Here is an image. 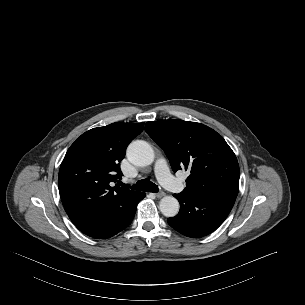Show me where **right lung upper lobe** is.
Masks as SVG:
<instances>
[{"instance_id": "obj_1", "label": "right lung upper lobe", "mask_w": 305, "mask_h": 305, "mask_svg": "<svg viewBox=\"0 0 305 305\" xmlns=\"http://www.w3.org/2000/svg\"><path fill=\"white\" fill-rule=\"evenodd\" d=\"M144 123H112L82 134L68 149L59 170L63 206L77 225L105 216L132 200L138 192L111 187L121 179L120 161Z\"/></svg>"}]
</instances>
